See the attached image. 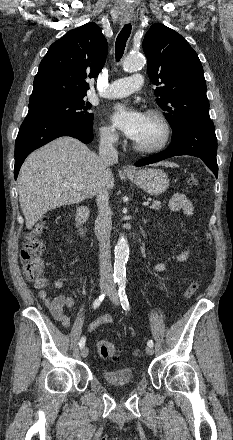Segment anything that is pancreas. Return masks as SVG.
<instances>
[{
	"label": "pancreas",
	"instance_id": "obj_1",
	"mask_svg": "<svg viewBox=\"0 0 233 440\" xmlns=\"http://www.w3.org/2000/svg\"><path fill=\"white\" fill-rule=\"evenodd\" d=\"M151 209L159 210L161 208V203L159 201H153L152 205L150 206Z\"/></svg>",
	"mask_w": 233,
	"mask_h": 440
}]
</instances>
